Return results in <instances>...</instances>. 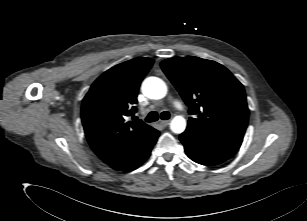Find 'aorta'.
Listing matches in <instances>:
<instances>
[{
  "label": "aorta",
  "instance_id": "762f6f07",
  "mask_svg": "<svg viewBox=\"0 0 307 221\" xmlns=\"http://www.w3.org/2000/svg\"><path fill=\"white\" fill-rule=\"evenodd\" d=\"M142 92L150 99H162L167 94V86L163 80L157 77H148L142 83ZM174 133L180 134L186 128V120L182 116H176L170 123Z\"/></svg>",
  "mask_w": 307,
  "mask_h": 221
}]
</instances>
